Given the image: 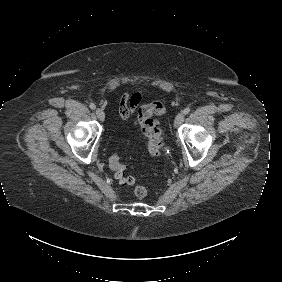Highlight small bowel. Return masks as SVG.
Here are the masks:
<instances>
[{
  "label": "small bowel",
  "instance_id": "c3829d8e",
  "mask_svg": "<svg viewBox=\"0 0 282 282\" xmlns=\"http://www.w3.org/2000/svg\"><path fill=\"white\" fill-rule=\"evenodd\" d=\"M142 101V93L139 90L124 92L119 102V117L122 120L131 118L139 109Z\"/></svg>",
  "mask_w": 282,
  "mask_h": 282
}]
</instances>
